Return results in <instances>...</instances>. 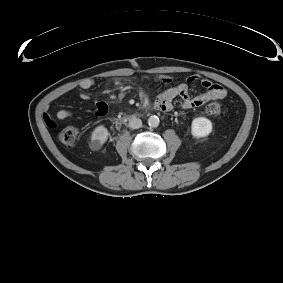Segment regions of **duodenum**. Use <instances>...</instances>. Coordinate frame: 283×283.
Returning a JSON list of instances; mask_svg holds the SVG:
<instances>
[{"mask_svg": "<svg viewBox=\"0 0 283 283\" xmlns=\"http://www.w3.org/2000/svg\"><path fill=\"white\" fill-rule=\"evenodd\" d=\"M160 110H161V109H160ZM130 118H131V119H132V118H135V116H134V115H131Z\"/></svg>", "mask_w": 283, "mask_h": 283, "instance_id": "1", "label": "duodenum"}]
</instances>
